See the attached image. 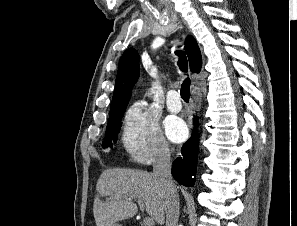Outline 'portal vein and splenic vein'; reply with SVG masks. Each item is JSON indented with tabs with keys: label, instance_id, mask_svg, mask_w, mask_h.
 Listing matches in <instances>:
<instances>
[{
	"label": "portal vein and splenic vein",
	"instance_id": "portal-vein-and-splenic-vein-1",
	"mask_svg": "<svg viewBox=\"0 0 297 226\" xmlns=\"http://www.w3.org/2000/svg\"><path fill=\"white\" fill-rule=\"evenodd\" d=\"M137 202L140 209L144 211V208H145L144 201L141 199H137ZM143 222L145 226H152L154 224V219L152 217H145Z\"/></svg>",
	"mask_w": 297,
	"mask_h": 226
}]
</instances>
